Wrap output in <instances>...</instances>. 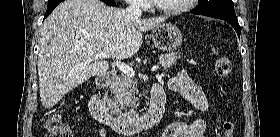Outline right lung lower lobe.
<instances>
[{"mask_svg": "<svg viewBox=\"0 0 280 137\" xmlns=\"http://www.w3.org/2000/svg\"><path fill=\"white\" fill-rule=\"evenodd\" d=\"M63 0H49L47 5V10L44 16V19L53 11V9L61 3ZM109 6H115L116 3L114 0H101Z\"/></svg>", "mask_w": 280, "mask_h": 137, "instance_id": "obj_1", "label": "right lung lower lobe"}]
</instances>
